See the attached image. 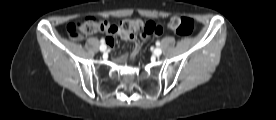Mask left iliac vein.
Returning <instances> with one entry per match:
<instances>
[{
  "label": "left iliac vein",
  "instance_id": "obj_1",
  "mask_svg": "<svg viewBox=\"0 0 276 120\" xmlns=\"http://www.w3.org/2000/svg\"><path fill=\"white\" fill-rule=\"evenodd\" d=\"M154 53H155L156 56H160L162 54V50L160 48H156L154 50Z\"/></svg>",
  "mask_w": 276,
  "mask_h": 120
}]
</instances>
